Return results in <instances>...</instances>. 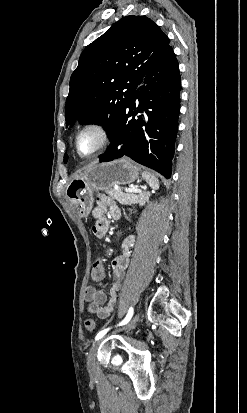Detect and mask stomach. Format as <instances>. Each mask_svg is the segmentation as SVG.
Returning <instances> with one entry per match:
<instances>
[{
    "mask_svg": "<svg viewBox=\"0 0 247 413\" xmlns=\"http://www.w3.org/2000/svg\"><path fill=\"white\" fill-rule=\"evenodd\" d=\"M138 174V166L129 158L94 162L71 178L66 186V196L69 202L76 204L81 217H88L93 207L94 190H106L114 184H130Z\"/></svg>",
    "mask_w": 247,
    "mask_h": 413,
    "instance_id": "1",
    "label": "stomach"
}]
</instances>
